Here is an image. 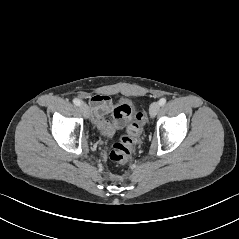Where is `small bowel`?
<instances>
[{
	"label": "small bowel",
	"instance_id": "1",
	"mask_svg": "<svg viewBox=\"0 0 239 239\" xmlns=\"http://www.w3.org/2000/svg\"><path fill=\"white\" fill-rule=\"evenodd\" d=\"M89 103L94 124L107 137L120 130L131 119L134 110L127 102L114 105L111 98L105 94L92 96Z\"/></svg>",
	"mask_w": 239,
	"mask_h": 239
}]
</instances>
